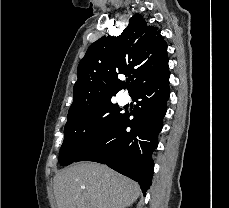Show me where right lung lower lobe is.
Returning a JSON list of instances; mask_svg holds the SVG:
<instances>
[{"mask_svg":"<svg viewBox=\"0 0 229 208\" xmlns=\"http://www.w3.org/2000/svg\"><path fill=\"white\" fill-rule=\"evenodd\" d=\"M169 76L167 65L161 75L135 89L130 94L137 102L134 110L125 112L118 125L75 162L107 164L137 181L146 195L153 176L154 162L151 155L158 145V134L162 130V120L167 110ZM130 116L134 118L129 119ZM127 127H130V131L126 130Z\"/></svg>","mask_w":229,"mask_h":208,"instance_id":"obj_1","label":"right lung lower lobe"}]
</instances>
